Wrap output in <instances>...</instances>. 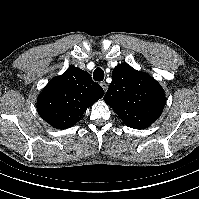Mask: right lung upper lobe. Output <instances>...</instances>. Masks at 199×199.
Here are the masks:
<instances>
[{"instance_id": "cb5924a9", "label": "right lung upper lobe", "mask_w": 199, "mask_h": 199, "mask_svg": "<svg viewBox=\"0 0 199 199\" xmlns=\"http://www.w3.org/2000/svg\"><path fill=\"white\" fill-rule=\"evenodd\" d=\"M103 94L88 72L70 67L61 76L54 77L38 96V113L55 128H69Z\"/></svg>"}]
</instances>
